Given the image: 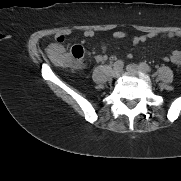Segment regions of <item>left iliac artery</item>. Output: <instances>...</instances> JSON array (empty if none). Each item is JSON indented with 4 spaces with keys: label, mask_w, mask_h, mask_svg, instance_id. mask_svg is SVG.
Wrapping results in <instances>:
<instances>
[{
    "label": "left iliac artery",
    "mask_w": 181,
    "mask_h": 181,
    "mask_svg": "<svg viewBox=\"0 0 181 181\" xmlns=\"http://www.w3.org/2000/svg\"><path fill=\"white\" fill-rule=\"evenodd\" d=\"M140 67H141V69H143L145 71H150L151 70L150 66H148V64H146L144 62L140 63Z\"/></svg>",
    "instance_id": "left-iliac-artery-1"
}]
</instances>
